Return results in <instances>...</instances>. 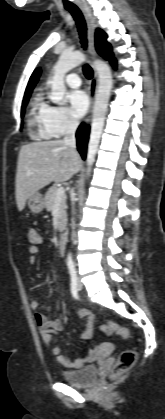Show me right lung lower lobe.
Returning <instances> with one entry per match:
<instances>
[{
	"label": "right lung lower lobe",
	"instance_id": "98d812e1",
	"mask_svg": "<svg viewBox=\"0 0 165 419\" xmlns=\"http://www.w3.org/2000/svg\"><path fill=\"white\" fill-rule=\"evenodd\" d=\"M77 148L83 159L86 157V147L89 138V126L81 124L76 132Z\"/></svg>",
	"mask_w": 165,
	"mask_h": 419
}]
</instances>
